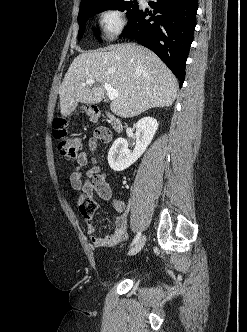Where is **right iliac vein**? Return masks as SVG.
I'll return each instance as SVG.
<instances>
[{
    "mask_svg": "<svg viewBox=\"0 0 247 332\" xmlns=\"http://www.w3.org/2000/svg\"><path fill=\"white\" fill-rule=\"evenodd\" d=\"M146 241V237L143 236L136 244L134 247H132L129 252L128 255L133 256L135 254H137L139 251H141V249L143 248L144 244Z\"/></svg>",
    "mask_w": 247,
    "mask_h": 332,
    "instance_id": "right-iliac-vein-1",
    "label": "right iliac vein"
}]
</instances>
